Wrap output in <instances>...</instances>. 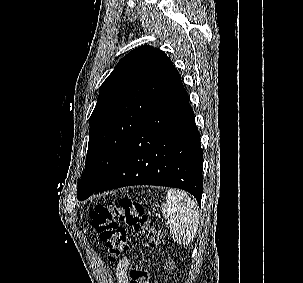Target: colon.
Masks as SVG:
<instances>
[{
  "instance_id": "5ec220e1",
  "label": "colon",
  "mask_w": 303,
  "mask_h": 283,
  "mask_svg": "<svg viewBox=\"0 0 303 283\" xmlns=\"http://www.w3.org/2000/svg\"><path fill=\"white\" fill-rule=\"evenodd\" d=\"M90 221L112 261L117 260L128 246L127 232L121 225L143 234L144 248H155L160 242V236L151 225L143 205L131 199L124 198L118 203L95 205L90 212ZM129 283H150L149 272L132 264Z\"/></svg>"
}]
</instances>
